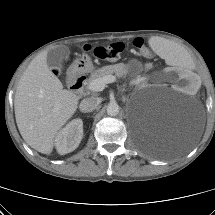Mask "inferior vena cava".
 <instances>
[{
  "label": "inferior vena cava",
  "instance_id": "inferior-vena-cava-1",
  "mask_svg": "<svg viewBox=\"0 0 215 215\" xmlns=\"http://www.w3.org/2000/svg\"><path fill=\"white\" fill-rule=\"evenodd\" d=\"M101 103V99L98 97H89V98H85L81 101L80 103V110L82 112H92L93 110H95L98 105Z\"/></svg>",
  "mask_w": 215,
  "mask_h": 215
}]
</instances>
